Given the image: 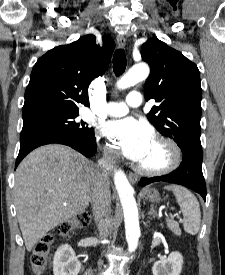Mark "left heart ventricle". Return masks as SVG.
<instances>
[{
    "label": "left heart ventricle",
    "instance_id": "b2bd125f",
    "mask_svg": "<svg viewBox=\"0 0 225 275\" xmlns=\"http://www.w3.org/2000/svg\"><path fill=\"white\" fill-rule=\"evenodd\" d=\"M168 152L163 144L153 140L143 158L138 162L146 168H160L167 163Z\"/></svg>",
    "mask_w": 225,
    "mask_h": 275
}]
</instances>
